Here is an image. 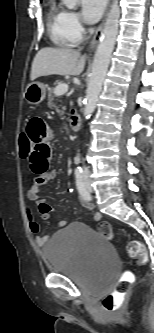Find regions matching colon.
I'll return each instance as SVG.
<instances>
[{
	"instance_id": "1",
	"label": "colon",
	"mask_w": 154,
	"mask_h": 333,
	"mask_svg": "<svg viewBox=\"0 0 154 333\" xmlns=\"http://www.w3.org/2000/svg\"><path fill=\"white\" fill-rule=\"evenodd\" d=\"M32 150V142L26 133L19 137V155L21 158L26 159L30 156ZM98 232L108 239H112L113 232L111 225L108 222H101L98 225ZM128 255L136 259L139 263L146 261V249L144 244L138 240H132L127 245ZM133 276L131 273H125L117 282L115 289L103 297L102 307L108 312L119 310L123 303L125 296L131 286Z\"/></svg>"
}]
</instances>
